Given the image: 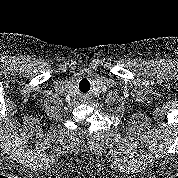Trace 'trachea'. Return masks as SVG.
Returning a JSON list of instances; mask_svg holds the SVG:
<instances>
[{"mask_svg": "<svg viewBox=\"0 0 178 178\" xmlns=\"http://www.w3.org/2000/svg\"><path fill=\"white\" fill-rule=\"evenodd\" d=\"M78 88L80 92L87 93L90 91L91 84L86 78H83L82 80H80Z\"/></svg>", "mask_w": 178, "mask_h": 178, "instance_id": "3493384b", "label": "trachea"}]
</instances>
